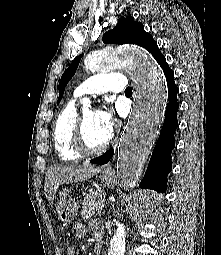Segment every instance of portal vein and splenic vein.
Masks as SVG:
<instances>
[{"label": "portal vein and splenic vein", "instance_id": "1", "mask_svg": "<svg viewBox=\"0 0 221 255\" xmlns=\"http://www.w3.org/2000/svg\"><path fill=\"white\" fill-rule=\"evenodd\" d=\"M105 207V204L104 203H101L97 206V209L98 210H102L103 208Z\"/></svg>", "mask_w": 221, "mask_h": 255}]
</instances>
